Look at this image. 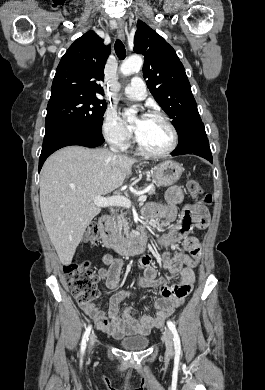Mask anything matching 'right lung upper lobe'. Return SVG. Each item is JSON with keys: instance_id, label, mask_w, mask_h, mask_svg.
<instances>
[{"instance_id": "obj_1", "label": "right lung upper lobe", "mask_w": 265, "mask_h": 390, "mask_svg": "<svg viewBox=\"0 0 265 390\" xmlns=\"http://www.w3.org/2000/svg\"><path fill=\"white\" fill-rule=\"evenodd\" d=\"M109 51L110 45L105 46L103 39L94 31L75 40L57 67L50 100L71 95H103L99 82L104 80Z\"/></svg>"}]
</instances>
